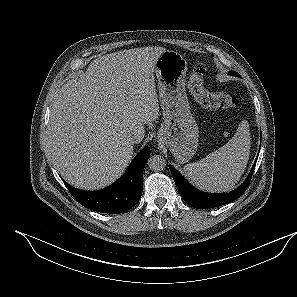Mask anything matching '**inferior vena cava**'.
Here are the masks:
<instances>
[{
	"mask_svg": "<svg viewBox=\"0 0 297 297\" xmlns=\"http://www.w3.org/2000/svg\"><path fill=\"white\" fill-rule=\"evenodd\" d=\"M142 139H143V137L139 133L133 132L128 135V141L131 144L140 143L142 141Z\"/></svg>",
	"mask_w": 297,
	"mask_h": 297,
	"instance_id": "1",
	"label": "inferior vena cava"
}]
</instances>
